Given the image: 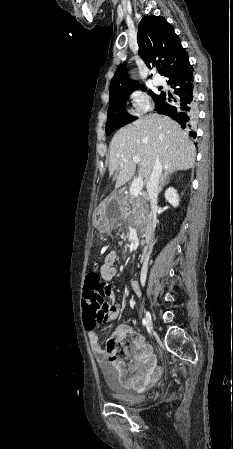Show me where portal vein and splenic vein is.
<instances>
[{
  "instance_id": "1",
  "label": "portal vein and splenic vein",
  "mask_w": 233,
  "mask_h": 449,
  "mask_svg": "<svg viewBox=\"0 0 233 449\" xmlns=\"http://www.w3.org/2000/svg\"><path fill=\"white\" fill-rule=\"evenodd\" d=\"M133 161L135 163H140V157L139 156H133ZM143 188V178L137 177L133 180L131 186H130V194L134 197H138L141 190Z\"/></svg>"
}]
</instances>
